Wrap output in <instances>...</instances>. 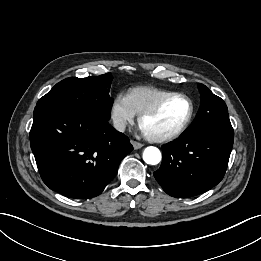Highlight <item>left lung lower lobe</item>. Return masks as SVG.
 <instances>
[{"mask_svg": "<svg viewBox=\"0 0 261 261\" xmlns=\"http://www.w3.org/2000/svg\"><path fill=\"white\" fill-rule=\"evenodd\" d=\"M234 141L232 126L183 133L162 146L154 177L172 197H192L217 185L227 169Z\"/></svg>", "mask_w": 261, "mask_h": 261, "instance_id": "0a47b994", "label": "left lung lower lobe"}]
</instances>
